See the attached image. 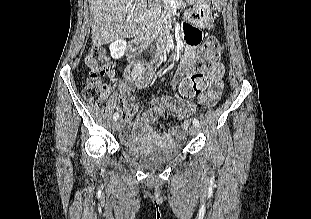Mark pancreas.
Here are the masks:
<instances>
[{"label":"pancreas","mask_w":311,"mask_h":219,"mask_svg":"<svg viewBox=\"0 0 311 219\" xmlns=\"http://www.w3.org/2000/svg\"><path fill=\"white\" fill-rule=\"evenodd\" d=\"M157 3L155 5L156 8L160 10V14L157 15L156 17H153L152 20L155 21L156 19L158 20L157 25H163L165 26L166 29H169L171 25V7L169 3L162 4L160 3L159 0H156ZM165 1V0H163ZM179 9H185L186 8V3L184 0H176Z\"/></svg>","instance_id":"pancreas-1"}]
</instances>
